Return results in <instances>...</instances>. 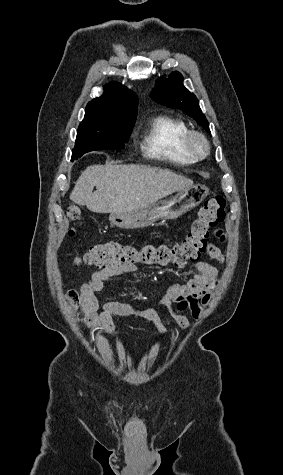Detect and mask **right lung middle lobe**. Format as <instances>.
Segmentation results:
<instances>
[{
	"label": "right lung middle lobe",
	"instance_id": "right-lung-middle-lobe-1",
	"mask_svg": "<svg viewBox=\"0 0 283 475\" xmlns=\"http://www.w3.org/2000/svg\"><path fill=\"white\" fill-rule=\"evenodd\" d=\"M137 105L88 106L77 130L72 161L83 154L103 149H122L136 121Z\"/></svg>",
	"mask_w": 283,
	"mask_h": 475
}]
</instances>
